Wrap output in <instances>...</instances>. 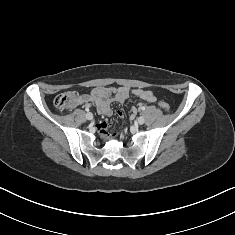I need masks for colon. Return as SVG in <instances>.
Listing matches in <instances>:
<instances>
[{"mask_svg": "<svg viewBox=\"0 0 235 235\" xmlns=\"http://www.w3.org/2000/svg\"><path fill=\"white\" fill-rule=\"evenodd\" d=\"M79 102V96L75 92H64L58 94L54 99V105L59 111H68L75 107ZM162 110L168 111L169 104L165 101H159Z\"/></svg>", "mask_w": 235, "mask_h": 235, "instance_id": "colon-1", "label": "colon"}]
</instances>
